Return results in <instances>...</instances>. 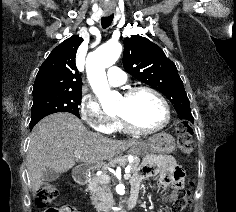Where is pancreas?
Segmentation results:
<instances>
[{
  "label": "pancreas",
  "instance_id": "obj_1",
  "mask_svg": "<svg viewBox=\"0 0 236 212\" xmlns=\"http://www.w3.org/2000/svg\"><path fill=\"white\" fill-rule=\"evenodd\" d=\"M139 158L135 157L134 161L131 164V171L129 173L130 177L131 174H135L138 172V165H139ZM127 163V159L123 158L120 161V165L124 166ZM129 177V178H130ZM89 187L88 190L90 191L91 195V201L94 207L98 211H105L110 206V198H111V192L108 188L107 184L108 181L102 180L101 176L97 177L94 176L88 181Z\"/></svg>",
  "mask_w": 236,
  "mask_h": 212
}]
</instances>
